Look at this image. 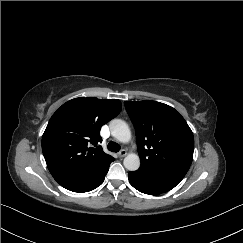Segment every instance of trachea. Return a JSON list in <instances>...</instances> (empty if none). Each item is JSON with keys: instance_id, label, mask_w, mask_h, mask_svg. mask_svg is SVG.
Wrapping results in <instances>:
<instances>
[{"instance_id": "trachea-1", "label": "trachea", "mask_w": 243, "mask_h": 243, "mask_svg": "<svg viewBox=\"0 0 243 243\" xmlns=\"http://www.w3.org/2000/svg\"><path fill=\"white\" fill-rule=\"evenodd\" d=\"M107 147H108V150H110L112 152H118L121 149V147H120L119 144H117L115 142H112V141H110L108 143V146Z\"/></svg>"}]
</instances>
